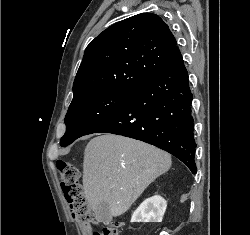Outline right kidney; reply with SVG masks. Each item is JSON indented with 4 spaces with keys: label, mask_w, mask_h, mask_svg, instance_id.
Segmentation results:
<instances>
[{
    "label": "right kidney",
    "mask_w": 250,
    "mask_h": 235,
    "mask_svg": "<svg viewBox=\"0 0 250 235\" xmlns=\"http://www.w3.org/2000/svg\"><path fill=\"white\" fill-rule=\"evenodd\" d=\"M167 202L159 195L143 201L132 215L131 222H162Z\"/></svg>",
    "instance_id": "obj_1"
}]
</instances>
